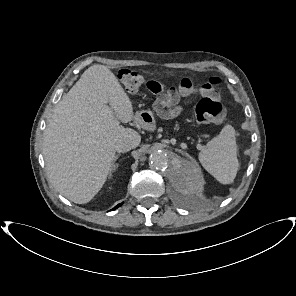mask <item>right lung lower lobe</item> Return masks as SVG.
I'll return each instance as SVG.
<instances>
[{"label": "right lung lower lobe", "instance_id": "1", "mask_svg": "<svg viewBox=\"0 0 296 296\" xmlns=\"http://www.w3.org/2000/svg\"><path fill=\"white\" fill-rule=\"evenodd\" d=\"M121 204H118L116 207H114L112 210H115L116 208L120 207Z\"/></svg>", "mask_w": 296, "mask_h": 296}]
</instances>
